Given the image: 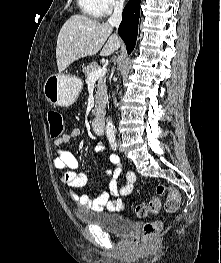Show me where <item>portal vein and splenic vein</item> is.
Segmentation results:
<instances>
[{
  "label": "portal vein and splenic vein",
  "mask_w": 221,
  "mask_h": 263,
  "mask_svg": "<svg viewBox=\"0 0 221 263\" xmlns=\"http://www.w3.org/2000/svg\"><path fill=\"white\" fill-rule=\"evenodd\" d=\"M106 72H107L106 68L98 69L96 71L91 72L87 78L88 83L95 82L99 78L103 77L106 74Z\"/></svg>",
  "instance_id": "18ae733b"
}]
</instances>
